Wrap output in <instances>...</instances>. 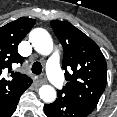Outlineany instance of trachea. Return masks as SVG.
<instances>
[{"mask_svg":"<svg viewBox=\"0 0 117 117\" xmlns=\"http://www.w3.org/2000/svg\"><path fill=\"white\" fill-rule=\"evenodd\" d=\"M32 73L36 75H40L42 72V65L40 62H34L32 65Z\"/></svg>","mask_w":117,"mask_h":117,"instance_id":"obj_1","label":"trachea"}]
</instances>
